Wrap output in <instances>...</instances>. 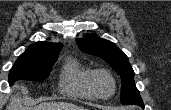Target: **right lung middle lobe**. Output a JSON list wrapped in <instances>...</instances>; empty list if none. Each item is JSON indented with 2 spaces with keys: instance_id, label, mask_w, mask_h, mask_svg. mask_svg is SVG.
<instances>
[{
  "instance_id": "right-lung-middle-lobe-1",
  "label": "right lung middle lobe",
  "mask_w": 171,
  "mask_h": 110,
  "mask_svg": "<svg viewBox=\"0 0 171 110\" xmlns=\"http://www.w3.org/2000/svg\"><path fill=\"white\" fill-rule=\"evenodd\" d=\"M58 56L50 58L20 56L9 72V84L17 80H45Z\"/></svg>"
}]
</instances>
